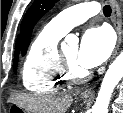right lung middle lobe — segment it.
<instances>
[{
    "instance_id": "obj_1",
    "label": "right lung middle lobe",
    "mask_w": 123,
    "mask_h": 113,
    "mask_svg": "<svg viewBox=\"0 0 123 113\" xmlns=\"http://www.w3.org/2000/svg\"><path fill=\"white\" fill-rule=\"evenodd\" d=\"M15 57L17 58L18 57V54H15ZM16 69H17V62L15 60L14 61V72H16Z\"/></svg>"
}]
</instances>
